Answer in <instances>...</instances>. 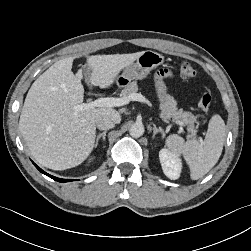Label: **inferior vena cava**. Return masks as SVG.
I'll list each match as a JSON object with an SVG mask.
<instances>
[{
	"label": "inferior vena cava",
	"instance_id": "602c4592",
	"mask_svg": "<svg viewBox=\"0 0 251 251\" xmlns=\"http://www.w3.org/2000/svg\"><path fill=\"white\" fill-rule=\"evenodd\" d=\"M115 120L108 115H103L97 118L96 126L99 130H108L115 126Z\"/></svg>",
	"mask_w": 251,
	"mask_h": 251
}]
</instances>
